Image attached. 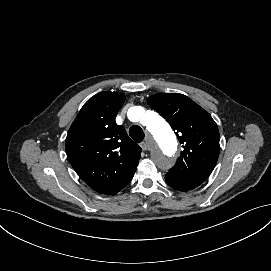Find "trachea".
Instances as JSON below:
<instances>
[{
	"label": "trachea",
	"mask_w": 271,
	"mask_h": 271,
	"mask_svg": "<svg viewBox=\"0 0 271 271\" xmlns=\"http://www.w3.org/2000/svg\"><path fill=\"white\" fill-rule=\"evenodd\" d=\"M129 135L137 143H140L141 141H143L145 137L144 131L142 130L140 126H137V125H133L130 127Z\"/></svg>",
	"instance_id": "obj_1"
}]
</instances>
